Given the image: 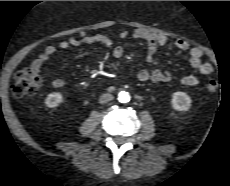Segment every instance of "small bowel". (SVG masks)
Here are the masks:
<instances>
[{
    "instance_id": "c3829d8e",
    "label": "small bowel",
    "mask_w": 230,
    "mask_h": 186,
    "mask_svg": "<svg viewBox=\"0 0 230 186\" xmlns=\"http://www.w3.org/2000/svg\"><path fill=\"white\" fill-rule=\"evenodd\" d=\"M131 34L134 38L143 40L147 45V60L156 65L157 61L155 54L157 50L168 43V38L163 35H156L154 33L142 30L134 29L131 32L122 31L119 35L120 38H124ZM82 43H98L106 47H112L113 41L110 37L104 34H86L81 33L80 37H69L66 40L59 41L56 45L47 46L43 52L34 59L29 69L34 73H39L42 66L50 60L57 51L66 50L71 47L78 46ZM174 47L178 51L188 52L189 65L193 71L201 75H209L213 72V65L204 61L205 52L202 48L191 47L188 41L184 39H178L174 43ZM112 54L115 58H121L123 56V49L120 46H115L113 48ZM137 78L141 82L151 81L153 83H165L169 82L172 78L171 73L167 71H162L159 68H154L151 71L140 70L137 74ZM181 83L187 87H194L199 83V80L194 75H186L181 79ZM51 84L55 88H62L65 86V81L61 78H53Z\"/></svg>"
}]
</instances>
